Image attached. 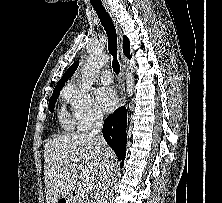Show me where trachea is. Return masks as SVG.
<instances>
[{
  "label": "trachea",
  "mask_w": 222,
  "mask_h": 203,
  "mask_svg": "<svg viewBox=\"0 0 222 203\" xmlns=\"http://www.w3.org/2000/svg\"><path fill=\"white\" fill-rule=\"evenodd\" d=\"M92 6L96 11L98 18L100 19L108 37V49L110 54L113 56V62H112L113 71L116 74H119L120 65L117 60V34L114 23L103 5L92 4Z\"/></svg>",
  "instance_id": "trachea-1"
}]
</instances>
